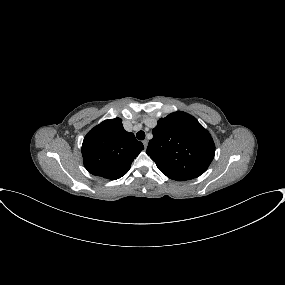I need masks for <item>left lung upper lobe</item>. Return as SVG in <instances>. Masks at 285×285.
I'll use <instances>...</instances> for the list:
<instances>
[{"label": "left lung upper lobe", "instance_id": "5c2ea615", "mask_svg": "<svg viewBox=\"0 0 285 285\" xmlns=\"http://www.w3.org/2000/svg\"><path fill=\"white\" fill-rule=\"evenodd\" d=\"M152 133L146 153L170 179L199 177L214 158L215 144L210 133L185 112L160 118Z\"/></svg>", "mask_w": 285, "mask_h": 285}]
</instances>
